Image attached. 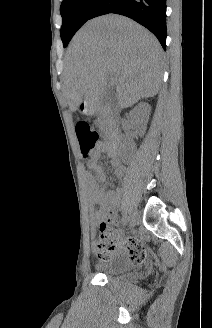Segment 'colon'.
Returning a JSON list of instances; mask_svg holds the SVG:
<instances>
[{
  "label": "colon",
  "instance_id": "5ec220e1",
  "mask_svg": "<svg viewBox=\"0 0 212 328\" xmlns=\"http://www.w3.org/2000/svg\"><path fill=\"white\" fill-rule=\"evenodd\" d=\"M75 132L83 158H90L94 154L97 147V132H95L91 128L90 124L85 121H79L76 123ZM119 238L120 235L112 231L107 223H102L100 225L99 239L96 244L98 255L103 259L109 258L115 250ZM144 256V251H142V253H140L137 257L136 262H141L144 259Z\"/></svg>",
  "mask_w": 212,
  "mask_h": 328
}]
</instances>
